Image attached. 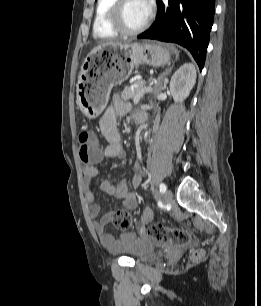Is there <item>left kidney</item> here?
<instances>
[{
    "label": "left kidney",
    "instance_id": "1",
    "mask_svg": "<svg viewBox=\"0 0 261 306\" xmlns=\"http://www.w3.org/2000/svg\"><path fill=\"white\" fill-rule=\"evenodd\" d=\"M196 82V68L192 63L182 65L171 77L170 92L174 101L186 99Z\"/></svg>",
    "mask_w": 261,
    "mask_h": 306
}]
</instances>
